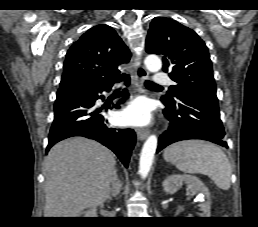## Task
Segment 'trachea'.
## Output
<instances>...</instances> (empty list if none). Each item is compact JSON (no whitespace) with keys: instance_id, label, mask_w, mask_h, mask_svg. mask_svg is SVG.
<instances>
[{"instance_id":"trachea-1","label":"trachea","mask_w":258,"mask_h":227,"mask_svg":"<svg viewBox=\"0 0 258 227\" xmlns=\"http://www.w3.org/2000/svg\"><path fill=\"white\" fill-rule=\"evenodd\" d=\"M145 86L147 87V88H162V86H160V85H157V84H155V83H153V82H151V81H145Z\"/></svg>"}]
</instances>
